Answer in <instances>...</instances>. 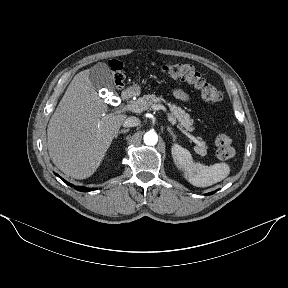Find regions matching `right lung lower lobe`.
Segmentation results:
<instances>
[{
    "label": "right lung lower lobe",
    "mask_w": 288,
    "mask_h": 288,
    "mask_svg": "<svg viewBox=\"0 0 288 288\" xmlns=\"http://www.w3.org/2000/svg\"><path fill=\"white\" fill-rule=\"evenodd\" d=\"M57 175V174H56ZM59 176V175H57ZM60 177V176H59ZM61 178V177H60ZM65 183H67V185L71 186V187H74V189L78 190V191H82V192H88V191H91L93 189H90V188H86L84 186H74L73 184H70L69 182H66L64 179H62Z\"/></svg>",
    "instance_id": "1"
}]
</instances>
